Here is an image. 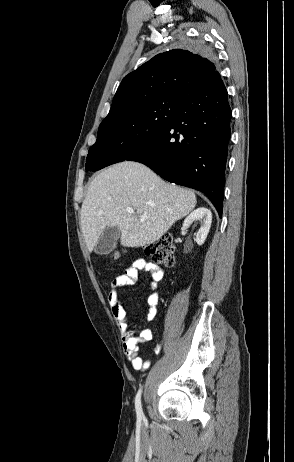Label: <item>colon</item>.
Listing matches in <instances>:
<instances>
[{"instance_id":"colon-1","label":"colon","mask_w":294,"mask_h":462,"mask_svg":"<svg viewBox=\"0 0 294 462\" xmlns=\"http://www.w3.org/2000/svg\"><path fill=\"white\" fill-rule=\"evenodd\" d=\"M174 252L175 245L170 235H163L157 241L145 246V253L152 261L164 266H171L174 263ZM113 256L116 258L117 254Z\"/></svg>"}]
</instances>
